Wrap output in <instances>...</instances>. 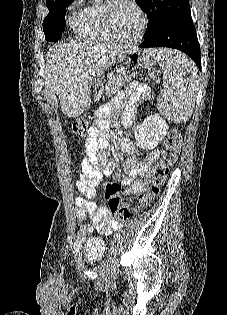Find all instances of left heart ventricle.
Here are the masks:
<instances>
[{
  "label": "left heart ventricle",
  "instance_id": "b2bd125f",
  "mask_svg": "<svg viewBox=\"0 0 227 315\" xmlns=\"http://www.w3.org/2000/svg\"><path fill=\"white\" fill-rule=\"evenodd\" d=\"M141 17L138 12L128 4H120L113 15V26L117 36L123 41L134 39L140 31Z\"/></svg>",
  "mask_w": 227,
  "mask_h": 315
}]
</instances>
